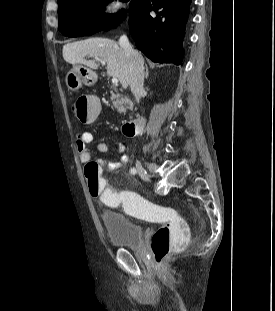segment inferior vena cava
<instances>
[{
  "instance_id": "obj_1",
  "label": "inferior vena cava",
  "mask_w": 275,
  "mask_h": 311,
  "mask_svg": "<svg viewBox=\"0 0 275 311\" xmlns=\"http://www.w3.org/2000/svg\"><path fill=\"white\" fill-rule=\"evenodd\" d=\"M119 45L129 59L130 89L139 103L144 91V60L134 51L125 35L120 37Z\"/></svg>"
}]
</instances>
